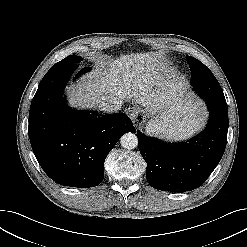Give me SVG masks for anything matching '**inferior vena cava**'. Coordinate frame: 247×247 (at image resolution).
Listing matches in <instances>:
<instances>
[{"instance_id":"obj_1","label":"inferior vena cava","mask_w":247,"mask_h":247,"mask_svg":"<svg viewBox=\"0 0 247 247\" xmlns=\"http://www.w3.org/2000/svg\"><path fill=\"white\" fill-rule=\"evenodd\" d=\"M121 106H122V101L117 97H113V98H110L106 101H103L99 105L101 110H103L107 113L117 112L118 110L121 109Z\"/></svg>"}]
</instances>
